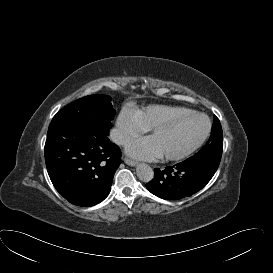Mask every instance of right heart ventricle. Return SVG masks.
<instances>
[{"label":"right heart ventricle","instance_id":"right-heart-ventricle-1","mask_svg":"<svg viewBox=\"0 0 273 273\" xmlns=\"http://www.w3.org/2000/svg\"><path fill=\"white\" fill-rule=\"evenodd\" d=\"M187 112L184 108L159 107L137 113L144 122L150 126L159 125L171 121L179 115Z\"/></svg>","mask_w":273,"mask_h":273}]
</instances>
